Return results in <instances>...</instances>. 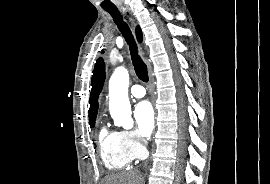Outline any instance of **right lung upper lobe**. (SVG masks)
<instances>
[{"instance_id": "cb5924a9", "label": "right lung upper lobe", "mask_w": 270, "mask_h": 184, "mask_svg": "<svg viewBox=\"0 0 270 184\" xmlns=\"http://www.w3.org/2000/svg\"><path fill=\"white\" fill-rule=\"evenodd\" d=\"M138 40H142V33L140 27L136 28ZM105 64L102 58L96 61L95 68L92 76V89L90 94V109H89V122L95 121L98 111V96L102 90L105 81Z\"/></svg>"}]
</instances>
